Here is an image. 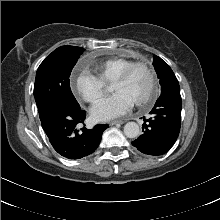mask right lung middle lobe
Returning <instances> with one entry per match:
<instances>
[{"instance_id": "obj_1", "label": "right lung middle lobe", "mask_w": 220, "mask_h": 220, "mask_svg": "<svg viewBox=\"0 0 220 220\" xmlns=\"http://www.w3.org/2000/svg\"><path fill=\"white\" fill-rule=\"evenodd\" d=\"M83 50L76 46L59 47L38 67L34 97L40 117L58 106L79 107L70 89L69 76Z\"/></svg>"}]
</instances>
